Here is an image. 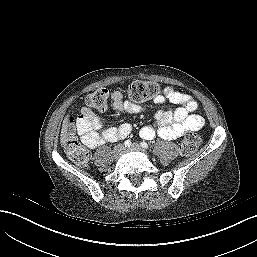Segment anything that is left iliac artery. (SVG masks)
<instances>
[{
	"label": "left iliac artery",
	"instance_id": "44dca946",
	"mask_svg": "<svg viewBox=\"0 0 257 257\" xmlns=\"http://www.w3.org/2000/svg\"><path fill=\"white\" fill-rule=\"evenodd\" d=\"M141 146L145 149H147L149 146L146 142H141Z\"/></svg>",
	"mask_w": 257,
	"mask_h": 257
}]
</instances>
